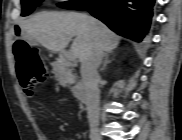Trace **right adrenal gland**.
<instances>
[{"instance_id":"2a0ac1e0","label":"right adrenal gland","mask_w":182,"mask_h":140,"mask_svg":"<svg viewBox=\"0 0 182 140\" xmlns=\"http://www.w3.org/2000/svg\"><path fill=\"white\" fill-rule=\"evenodd\" d=\"M109 54L110 53L104 54V61H103L102 67H101V71H103L106 68L107 64L109 63Z\"/></svg>"}]
</instances>
